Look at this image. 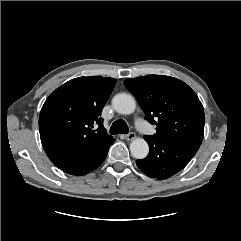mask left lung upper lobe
<instances>
[{
	"label": "left lung upper lobe",
	"mask_w": 241,
	"mask_h": 241,
	"mask_svg": "<svg viewBox=\"0 0 241 241\" xmlns=\"http://www.w3.org/2000/svg\"><path fill=\"white\" fill-rule=\"evenodd\" d=\"M146 114L156 124L154 136L201 144L205 115L196 93L181 80L160 75L128 78L124 81Z\"/></svg>",
	"instance_id": "5c2ea615"
}]
</instances>
